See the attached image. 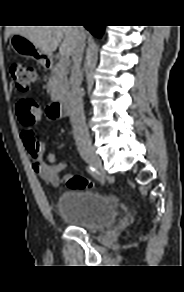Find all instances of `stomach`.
Wrapping results in <instances>:
<instances>
[{
	"label": "stomach",
	"instance_id": "0dacf381",
	"mask_svg": "<svg viewBox=\"0 0 184 292\" xmlns=\"http://www.w3.org/2000/svg\"><path fill=\"white\" fill-rule=\"evenodd\" d=\"M10 48L16 54L32 58L41 65H45L50 57L48 54L36 47L29 39L19 34L11 35Z\"/></svg>",
	"mask_w": 184,
	"mask_h": 292
}]
</instances>
